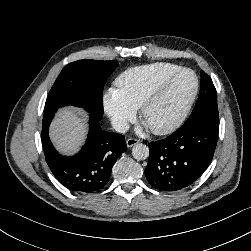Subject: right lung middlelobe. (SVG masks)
I'll use <instances>...</instances> for the list:
<instances>
[{
    "label": "right lung middle lobe",
    "mask_w": 251,
    "mask_h": 251,
    "mask_svg": "<svg viewBox=\"0 0 251 251\" xmlns=\"http://www.w3.org/2000/svg\"><path fill=\"white\" fill-rule=\"evenodd\" d=\"M117 61L79 60L66 65L47 97L44 114L63 106H78L101 118L103 88L107 78L117 68Z\"/></svg>",
    "instance_id": "obj_1"
}]
</instances>
